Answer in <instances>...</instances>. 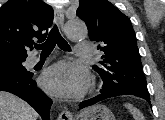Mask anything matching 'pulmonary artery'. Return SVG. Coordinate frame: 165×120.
Here are the masks:
<instances>
[{"label": "pulmonary artery", "mask_w": 165, "mask_h": 120, "mask_svg": "<svg viewBox=\"0 0 165 120\" xmlns=\"http://www.w3.org/2000/svg\"><path fill=\"white\" fill-rule=\"evenodd\" d=\"M93 51V46L90 42H80L77 44V47H76V54L79 55V56H88L92 53ZM39 58L38 57H30L28 60H27V64L29 66H33L35 64H37L39 62Z\"/></svg>", "instance_id": "e3ab8cb5"}]
</instances>
